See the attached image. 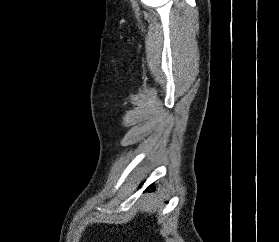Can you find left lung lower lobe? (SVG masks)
Listing matches in <instances>:
<instances>
[{
    "instance_id": "obj_1",
    "label": "left lung lower lobe",
    "mask_w": 279,
    "mask_h": 242,
    "mask_svg": "<svg viewBox=\"0 0 279 242\" xmlns=\"http://www.w3.org/2000/svg\"><path fill=\"white\" fill-rule=\"evenodd\" d=\"M152 189V186H150L149 188H148V190H151Z\"/></svg>"
}]
</instances>
